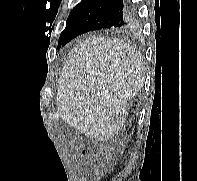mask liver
Masks as SVG:
<instances>
[{
	"mask_svg": "<svg viewBox=\"0 0 197 181\" xmlns=\"http://www.w3.org/2000/svg\"><path fill=\"white\" fill-rule=\"evenodd\" d=\"M145 82L143 58L126 42L88 37L68 53L58 80L57 109L86 137L108 140L123 128L125 105Z\"/></svg>",
	"mask_w": 197,
	"mask_h": 181,
	"instance_id": "6515ba94",
	"label": "liver"
}]
</instances>
